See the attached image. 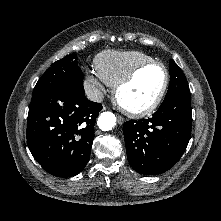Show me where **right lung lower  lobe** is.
Instances as JSON below:
<instances>
[{
  "mask_svg": "<svg viewBox=\"0 0 221 221\" xmlns=\"http://www.w3.org/2000/svg\"><path fill=\"white\" fill-rule=\"evenodd\" d=\"M100 103L70 87L56 89L29 105L27 144L45 171L79 174L89 161Z\"/></svg>",
  "mask_w": 221,
  "mask_h": 221,
  "instance_id": "obj_1",
  "label": "right lung lower lobe"
}]
</instances>
